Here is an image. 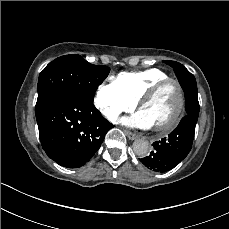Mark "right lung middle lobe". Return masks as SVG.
Here are the masks:
<instances>
[{
    "label": "right lung middle lobe",
    "instance_id": "right-lung-middle-lobe-1",
    "mask_svg": "<svg viewBox=\"0 0 229 229\" xmlns=\"http://www.w3.org/2000/svg\"><path fill=\"white\" fill-rule=\"evenodd\" d=\"M110 68L88 63L80 55L70 54L53 60L40 73L35 111L62 92H73L93 101L97 87L108 76Z\"/></svg>",
    "mask_w": 229,
    "mask_h": 229
}]
</instances>
